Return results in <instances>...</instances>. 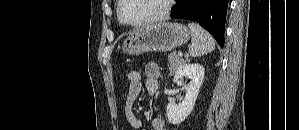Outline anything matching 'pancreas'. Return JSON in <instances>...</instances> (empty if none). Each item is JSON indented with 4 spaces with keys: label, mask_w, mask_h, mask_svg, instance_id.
<instances>
[{
    "label": "pancreas",
    "mask_w": 299,
    "mask_h": 130,
    "mask_svg": "<svg viewBox=\"0 0 299 130\" xmlns=\"http://www.w3.org/2000/svg\"><path fill=\"white\" fill-rule=\"evenodd\" d=\"M183 63V60L181 57H179L175 52H172L168 56V64H169V70L171 73H174V71Z\"/></svg>",
    "instance_id": "1"
}]
</instances>
